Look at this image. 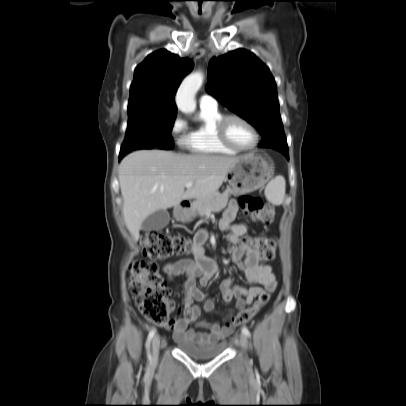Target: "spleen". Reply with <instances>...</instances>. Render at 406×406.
I'll return each instance as SVG.
<instances>
[{"label":"spleen","mask_w":406,"mask_h":406,"mask_svg":"<svg viewBox=\"0 0 406 406\" xmlns=\"http://www.w3.org/2000/svg\"><path fill=\"white\" fill-rule=\"evenodd\" d=\"M285 179L279 175L272 179L265 188V195L269 202L274 205H280L285 197Z\"/></svg>","instance_id":"obj_1"}]
</instances>
